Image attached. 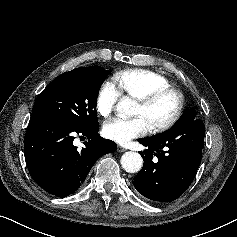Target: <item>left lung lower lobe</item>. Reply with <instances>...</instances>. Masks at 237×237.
Returning <instances> with one entry per match:
<instances>
[{"label": "left lung lower lobe", "instance_id": "0a47b994", "mask_svg": "<svg viewBox=\"0 0 237 237\" xmlns=\"http://www.w3.org/2000/svg\"><path fill=\"white\" fill-rule=\"evenodd\" d=\"M204 124L193 118L158 139L138 140L147 149L139 152L143 168L134 179L135 189L144 197L171 202L192 183L201 162Z\"/></svg>", "mask_w": 237, "mask_h": 237}]
</instances>
